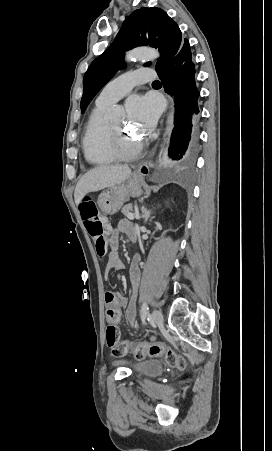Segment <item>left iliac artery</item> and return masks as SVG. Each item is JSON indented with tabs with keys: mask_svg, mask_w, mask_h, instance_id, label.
Wrapping results in <instances>:
<instances>
[{
	"mask_svg": "<svg viewBox=\"0 0 272 451\" xmlns=\"http://www.w3.org/2000/svg\"><path fill=\"white\" fill-rule=\"evenodd\" d=\"M148 313H149L148 304L146 302H144L142 304V308H141V320L143 323H145V319H146V316Z\"/></svg>",
	"mask_w": 272,
	"mask_h": 451,
	"instance_id": "obj_1",
	"label": "left iliac artery"
}]
</instances>
